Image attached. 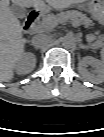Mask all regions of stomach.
<instances>
[{
    "instance_id": "0dacf381",
    "label": "stomach",
    "mask_w": 104,
    "mask_h": 137,
    "mask_svg": "<svg viewBox=\"0 0 104 137\" xmlns=\"http://www.w3.org/2000/svg\"><path fill=\"white\" fill-rule=\"evenodd\" d=\"M90 12L96 17L101 15L100 13L103 10V1L102 0H91L87 4Z\"/></svg>"
}]
</instances>
